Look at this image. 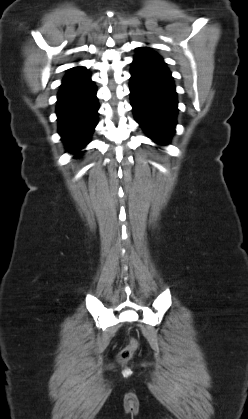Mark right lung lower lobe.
Masks as SVG:
<instances>
[{"label": "right lung lower lobe", "instance_id": "obj_1", "mask_svg": "<svg viewBox=\"0 0 248 419\" xmlns=\"http://www.w3.org/2000/svg\"><path fill=\"white\" fill-rule=\"evenodd\" d=\"M96 91L90 73L84 67L70 69L63 78L56 114L59 134L69 152L76 153L86 146L97 125L99 104Z\"/></svg>", "mask_w": 248, "mask_h": 419}]
</instances>
